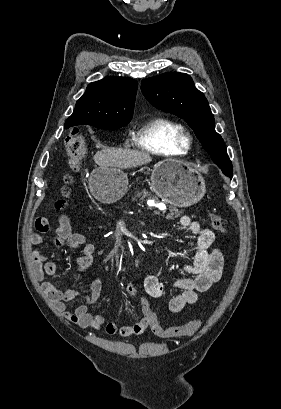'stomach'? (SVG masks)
Returning a JSON list of instances; mask_svg holds the SVG:
<instances>
[{
  "instance_id": "1",
  "label": "stomach",
  "mask_w": 281,
  "mask_h": 409,
  "mask_svg": "<svg viewBox=\"0 0 281 409\" xmlns=\"http://www.w3.org/2000/svg\"><path fill=\"white\" fill-rule=\"evenodd\" d=\"M89 188L100 202L120 200L128 188L127 174L116 166H97L89 176ZM151 186L153 192L164 202L174 207H191L203 198L205 180L184 160H160L152 168Z\"/></svg>"
}]
</instances>
